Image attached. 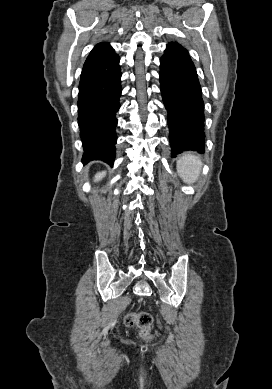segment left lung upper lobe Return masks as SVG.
I'll list each match as a JSON object with an SVG mask.
<instances>
[{
	"label": "left lung upper lobe",
	"mask_w": 272,
	"mask_h": 389,
	"mask_svg": "<svg viewBox=\"0 0 272 389\" xmlns=\"http://www.w3.org/2000/svg\"><path fill=\"white\" fill-rule=\"evenodd\" d=\"M168 46H171V47H174V48H178V49L187 51L184 47H182L180 44H178V43H176V42H170V43L168 44Z\"/></svg>",
	"instance_id": "obj_1"
}]
</instances>
